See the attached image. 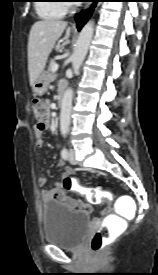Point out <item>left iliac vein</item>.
Instances as JSON below:
<instances>
[{"mask_svg":"<svg viewBox=\"0 0 158 275\" xmlns=\"http://www.w3.org/2000/svg\"><path fill=\"white\" fill-rule=\"evenodd\" d=\"M68 160H69V162H70L71 164H76V163H77V161H76V159H75V152H74L73 149H70V150H69Z\"/></svg>","mask_w":158,"mask_h":275,"instance_id":"obj_1","label":"left iliac vein"}]
</instances>
